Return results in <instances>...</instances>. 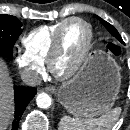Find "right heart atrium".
I'll use <instances>...</instances> for the list:
<instances>
[{
  "instance_id": "obj_1",
  "label": "right heart atrium",
  "mask_w": 130,
  "mask_h": 130,
  "mask_svg": "<svg viewBox=\"0 0 130 130\" xmlns=\"http://www.w3.org/2000/svg\"><path fill=\"white\" fill-rule=\"evenodd\" d=\"M14 61L23 79L30 84H37L45 73L44 62L35 59L26 51H18Z\"/></svg>"
}]
</instances>
